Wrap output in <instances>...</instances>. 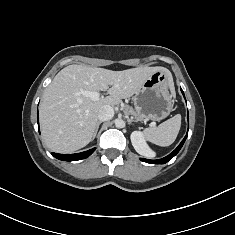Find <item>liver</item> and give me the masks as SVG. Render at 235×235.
<instances>
[{"label": "liver", "mask_w": 235, "mask_h": 235, "mask_svg": "<svg viewBox=\"0 0 235 235\" xmlns=\"http://www.w3.org/2000/svg\"><path fill=\"white\" fill-rule=\"evenodd\" d=\"M169 71L161 66H141L112 71L86 65L63 68L45 89L39 108L42 138L49 149L70 153L92 141L103 106H115L134 95L154 73ZM111 86V88H109ZM82 90L106 91L109 96L92 100Z\"/></svg>", "instance_id": "6515ba94"}]
</instances>
